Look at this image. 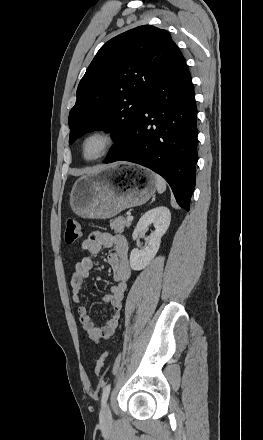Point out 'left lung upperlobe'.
Returning <instances> with one entry per match:
<instances>
[{
  "instance_id": "left-lung-upper-lobe-1",
  "label": "left lung upper lobe",
  "mask_w": 263,
  "mask_h": 440,
  "mask_svg": "<svg viewBox=\"0 0 263 440\" xmlns=\"http://www.w3.org/2000/svg\"><path fill=\"white\" fill-rule=\"evenodd\" d=\"M170 34L151 25L126 31L97 52L69 113V143L87 132H111L113 155L130 145L137 115L175 47Z\"/></svg>"
}]
</instances>
